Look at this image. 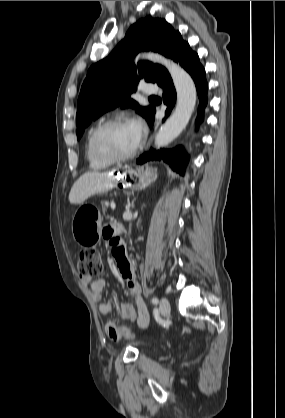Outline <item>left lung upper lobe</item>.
<instances>
[{
  "label": "left lung upper lobe",
  "mask_w": 285,
  "mask_h": 418,
  "mask_svg": "<svg viewBox=\"0 0 285 418\" xmlns=\"http://www.w3.org/2000/svg\"><path fill=\"white\" fill-rule=\"evenodd\" d=\"M181 39L180 33L165 19L148 16L133 24L115 49L88 70L77 103V138L80 139L92 121L119 106L136 108L149 123L155 108L140 107L130 95L141 79L157 83L165 68L148 61L135 66L132 59L144 50L171 57L175 44Z\"/></svg>",
  "instance_id": "1"
}]
</instances>
